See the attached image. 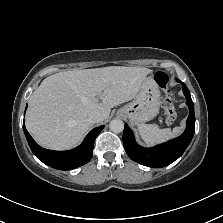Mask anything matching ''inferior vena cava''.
<instances>
[{"mask_svg": "<svg viewBox=\"0 0 223 223\" xmlns=\"http://www.w3.org/2000/svg\"><path fill=\"white\" fill-rule=\"evenodd\" d=\"M89 119L93 122V123H97V122H101L104 120V117L102 115L101 112L99 111H92L89 114Z\"/></svg>", "mask_w": 223, "mask_h": 223, "instance_id": "inferior-vena-cava-1", "label": "inferior vena cava"}]
</instances>
